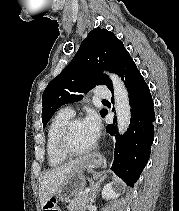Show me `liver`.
I'll list each match as a JSON object with an SVG mask.
<instances>
[{"label":"liver","instance_id":"6515ba94","mask_svg":"<svg viewBox=\"0 0 179 211\" xmlns=\"http://www.w3.org/2000/svg\"><path fill=\"white\" fill-rule=\"evenodd\" d=\"M85 161L86 158H79L45 173L39 185V200L42 208L52 196L57 194L72 170L84 165Z\"/></svg>","mask_w":179,"mask_h":211}]
</instances>
